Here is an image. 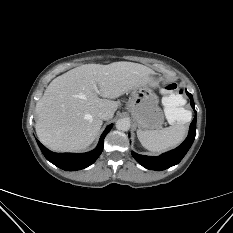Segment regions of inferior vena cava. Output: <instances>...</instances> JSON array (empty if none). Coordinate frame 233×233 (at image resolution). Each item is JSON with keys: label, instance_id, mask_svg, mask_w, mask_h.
Segmentation results:
<instances>
[{"label": "inferior vena cava", "instance_id": "obj_1", "mask_svg": "<svg viewBox=\"0 0 233 233\" xmlns=\"http://www.w3.org/2000/svg\"><path fill=\"white\" fill-rule=\"evenodd\" d=\"M114 113L108 109H102L99 111L98 116L103 120H109L113 117Z\"/></svg>", "mask_w": 233, "mask_h": 233}]
</instances>
